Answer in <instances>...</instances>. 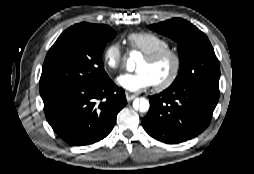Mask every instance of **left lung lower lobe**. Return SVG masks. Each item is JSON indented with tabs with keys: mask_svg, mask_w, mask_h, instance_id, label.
<instances>
[{
	"mask_svg": "<svg viewBox=\"0 0 254 174\" xmlns=\"http://www.w3.org/2000/svg\"><path fill=\"white\" fill-rule=\"evenodd\" d=\"M219 95V83L169 87L149 97L150 109L141 120L142 126L150 136L164 143L185 142L207 128Z\"/></svg>",
	"mask_w": 254,
	"mask_h": 174,
	"instance_id": "0a47b994",
	"label": "left lung lower lobe"
}]
</instances>
